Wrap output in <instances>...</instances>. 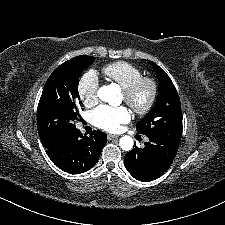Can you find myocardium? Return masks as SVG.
Returning a JSON list of instances; mask_svg holds the SVG:
<instances>
[{"mask_svg": "<svg viewBox=\"0 0 225 225\" xmlns=\"http://www.w3.org/2000/svg\"><path fill=\"white\" fill-rule=\"evenodd\" d=\"M143 86H147L149 88V96L144 104L139 105L135 103V97ZM123 95L125 102L135 113L144 115L153 108L156 102L158 95V85L153 78L148 76H141L125 89H123Z\"/></svg>", "mask_w": 225, "mask_h": 225, "instance_id": "myocardium-1", "label": "myocardium"}]
</instances>
